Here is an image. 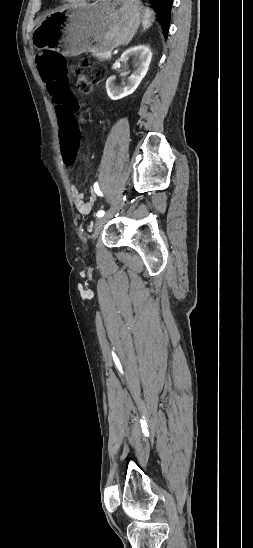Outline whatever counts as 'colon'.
Masks as SVG:
<instances>
[{"label": "colon", "mask_w": 253, "mask_h": 548, "mask_svg": "<svg viewBox=\"0 0 253 548\" xmlns=\"http://www.w3.org/2000/svg\"><path fill=\"white\" fill-rule=\"evenodd\" d=\"M52 50H44L38 56V73L45 84L49 101L55 107V118L61 128L60 140L64 165H74L77 157L76 141L82 136L79 105L71 93L74 83L70 80L69 62ZM77 89L89 93L105 77V70L88 59L81 60L75 67Z\"/></svg>", "instance_id": "1"}]
</instances>
